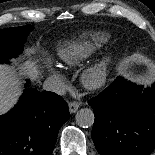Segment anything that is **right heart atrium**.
Returning a JSON list of instances; mask_svg holds the SVG:
<instances>
[{
    "label": "right heart atrium",
    "mask_w": 155,
    "mask_h": 155,
    "mask_svg": "<svg viewBox=\"0 0 155 155\" xmlns=\"http://www.w3.org/2000/svg\"><path fill=\"white\" fill-rule=\"evenodd\" d=\"M48 72L50 80L55 84L57 88H62L65 85V79L59 70L52 66H48Z\"/></svg>",
    "instance_id": "1"
}]
</instances>
